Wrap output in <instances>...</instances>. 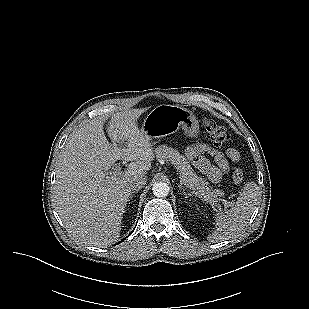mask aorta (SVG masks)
<instances>
[{"label":"aorta","mask_w":309,"mask_h":309,"mask_svg":"<svg viewBox=\"0 0 309 309\" xmlns=\"http://www.w3.org/2000/svg\"><path fill=\"white\" fill-rule=\"evenodd\" d=\"M152 191L156 197H165L169 193V186L165 182H156L152 187Z\"/></svg>","instance_id":"aorta-1"}]
</instances>
